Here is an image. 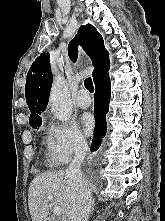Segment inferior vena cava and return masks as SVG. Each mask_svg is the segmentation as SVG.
<instances>
[{
    "mask_svg": "<svg viewBox=\"0 0 165 221\" xmlns=\"http://www.w3.org/2000/svg\"><path fill=\"white\" fill-rule=\"evenodd\" d=\"M88 151L85 140H80L75 147V156L66 174L69 176L74 190L71 221H88L91 212L92 194L81 173L80 167Z\"/></svg>",
    "mask_w": 165,
    "mask_h": 221,
    "instance_id": "inferior-vena-cava-1",
    "label": "inferior vena cava"
}]
</instances>
